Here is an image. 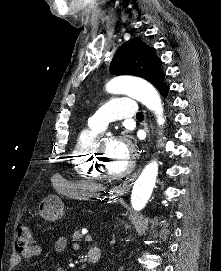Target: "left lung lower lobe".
<instances>
[{
	"label": "left lung lower lobe",
	"mask_w": 221,
	"mask_h": 271,
	"mask_svg": "<svg viewBox=\"0 0 221 271\" xmlns=\"http://www.w3.org/2000/svg\"><path fill=\"white\" fill-rule=\"evenodd\" d=\"M160 91V93L163 95V96H166L167 95V92H168V86L167 85H164L162 86L161 88L158 89Z\"/></svg>",
	"instance_id": "left-lung-lower-lobe-1"
}]
</instances>
